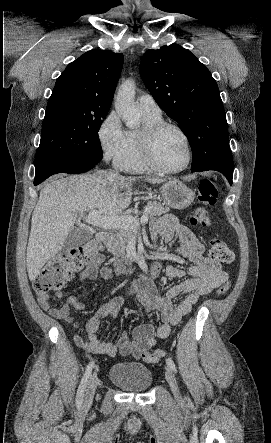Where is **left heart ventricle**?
<instances>
[{
  "label": "left heart ventricle",
  "instance_id": "obj_1",
  "mask_svg": "<svg viewBox=\"0 0 271 443\" xmlns=\"http://www.w3.org/2000/svg\"><path fill=\"white\" fill-rule=\"evenodd\" d=\"M155 154L163 166L175 168L185 163L187 147L179 132L172 128H167L156 139Z\"/></svg>",
  "mask_w": 271,
  "mask_h": 443
}]
</instances>
